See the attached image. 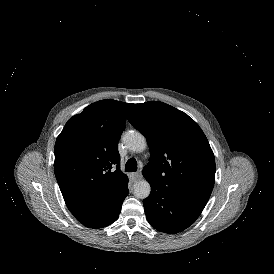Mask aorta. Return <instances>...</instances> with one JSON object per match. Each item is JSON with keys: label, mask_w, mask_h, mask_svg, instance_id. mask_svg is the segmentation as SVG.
Returning <instances> with one entry per match:
<instances>
[{"label": "aorta", "mask_w": 274, "mask_h": 274, "mask_svg": "<svg viewBox=\"0 0 274 274\" xmlns=\"http://www.w3.org/2000/svg\"><path fill=\"white\" fill-rule=\"evenodd\" d=\"M126 148L133 152L140 153L146 148V139L138 131H128L122 136ZM150 184L146 180L136 181L133 185V194L136 198L145 199L150 195Z\"/></svg>", "instance_id": "762f6f07"}]
</instances>
